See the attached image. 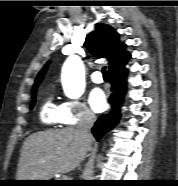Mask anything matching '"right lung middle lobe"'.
<instances>
[{
    "label": "right lung middle lobe",
    "instance_id": "obj_1",
    "mask_svg": "<svg viewBox=\"0 0 178 186\" xmlns=\"http://www.w3.org/2000/svg\"><path fill=\"white\" fill-rule=\"evenodd\" d=\"M32 95H33V96H32L33 99H32V101H31V106H30V108H32V107L34 106L35 102H36L35 93H33Z\"/></svg>",
    "mask_w": 178,
    "mask_h": 186
}]
</instances>
